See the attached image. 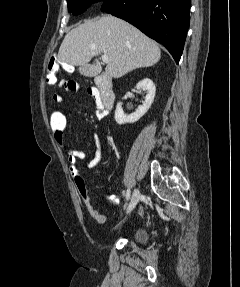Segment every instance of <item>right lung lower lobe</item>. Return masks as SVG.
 <instances>
[{"mask_svg":"<svg viewBox=\"0 0 240 287\" xmlns=\"http://www.w3.org/2000/svg\"><path fill=\"white\" fill-rule=\"evenodd\" d=\"M101 11L128 21L163 44L179 62L190 23V0H105Z\"/></svg>","mask_w":240,"mask_h":287,"instance_id":"98d812e1","label":"right lung lower lobe"}]
</instances>
